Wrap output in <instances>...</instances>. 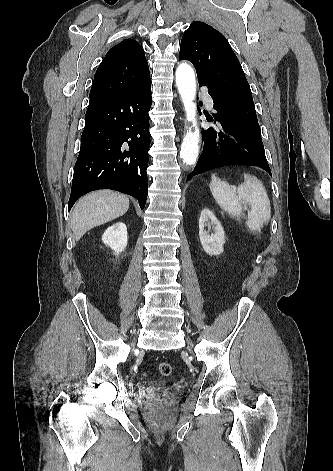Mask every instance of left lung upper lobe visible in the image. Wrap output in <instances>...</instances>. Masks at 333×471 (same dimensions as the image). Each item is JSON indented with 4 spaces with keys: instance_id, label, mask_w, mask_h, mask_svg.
<instances>
[{
    "instance_id": "1",
    "label": "left lung upper lobe",
    "mask_w": 333,
    "mask_h": 471,
    "mask_svg": "<svg viewBox=\"0 0 333 471\" xmlns=\"http://www.w3.org/2000/svg\"><path fill=\"white\" fill-rule=\"evenodd\" d=\"M184 59L193 63L198 81L215 93L226 114L260 134L250 86L238 58L219 31L203 22H192L181 40L180 60Z\"/></svg>"
}]
</instances>
